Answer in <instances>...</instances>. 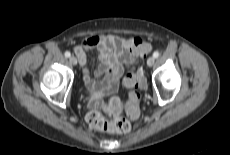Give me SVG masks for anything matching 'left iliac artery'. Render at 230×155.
<instances>
[{
	"instance_id": "44dca946",
	"label": "left iliac artery",
	"mask_w": 230,
	"mask_h": 155,
	"mask_svg": "<svg viewBox=\"0 0 230 155\" xmlns=\"http://www.w3.org/2000/svg\"><path fill=\"white\" fill-rule=\"evenodd\" d=\"M153 57H154V58H158V57H159V52L155 51V52L153 53Z\"/></svg>"
}]
</instances>
